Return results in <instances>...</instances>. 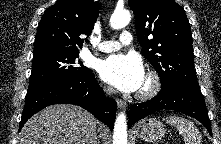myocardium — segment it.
<instances>
[{
  "mask_svg": "<svg viewBox=\"0 0 221 144\" xmlns=\"http://www.w3.org/2000/svg\"><path fill=\"white\" fill-rule=\"evenodd\" d=\"M160 86V78L157 73L148 71L145 77V85L140 89L137 96L142 100L151 99L159 92Z\"/></svg>",
  "mask_w": 221,
  "mask_h": 144,
  "instance_id": "1",
  "label": "myocardium"
}]
</instances>
